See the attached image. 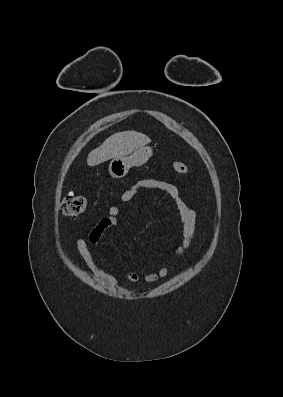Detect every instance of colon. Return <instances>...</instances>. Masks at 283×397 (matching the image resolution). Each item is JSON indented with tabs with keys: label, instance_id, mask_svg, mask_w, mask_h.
I'll list each match as a JSON object with an SVG mask.
<instances>
[{
	"label": "colon",
	"instance_id": "obj_1",
	"mask_svg": "<svg viewBox=\"0 0 283 397\" xmlns=\"http://www.w3.org/2000/svg\"><path fill=\"white\" fill-rule=\"evenodd\" d=\"M173 171L178 175H184L188 172V167L183 162L172 163ZM87 206V200L84 196L69 193L64 197L61 203V212L66 216L75 217L81 214Z\"/></svg>",
	"mask_w": 283,
	"mask_h": 397
}]
</instances>
